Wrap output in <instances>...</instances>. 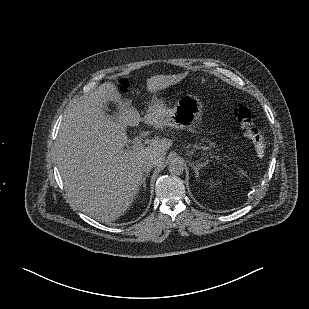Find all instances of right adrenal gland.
I'll return each instance as SVG.
<instances>
[{"label":"right adrenal gland","instance_id":"2a0ac1e0","mask_svg":"<svg viewBox=\"0 0 309 309\" xmlns=\"http://www.w3.org/2000/svg\"><path fill=\"white\" fill-rule=\"evenodd\" d=\"M149 173L147 172L145 174V176L143 177V180H142V186L144 187V190H146V179L148 177Z\"/></svg>","mask_w":309,"mask_h":309}]
</instances>
